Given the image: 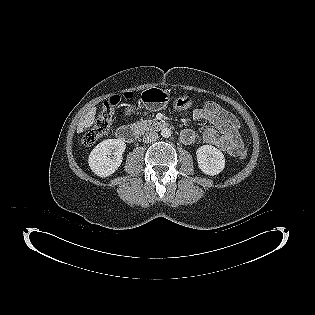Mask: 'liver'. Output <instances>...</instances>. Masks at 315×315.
I'll return each instance as SVG.
<instances>
[{"mask_svg": "<svg viewBox=\"0 0 315 315\" xmlns=\"http://www.w3.org/2000/svg\"><path fill=\"white\" fill-rule=\"evenodd\" d=\"M96 108H91L87 114L80 120L77 131L79 133L83 132L85 129L91 127L95 120Z\"/></svg>", "mask_w": 315, "mask_h": 315, "instance_id": "6515ba94", "label": "liver"}]
</instances>
